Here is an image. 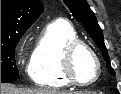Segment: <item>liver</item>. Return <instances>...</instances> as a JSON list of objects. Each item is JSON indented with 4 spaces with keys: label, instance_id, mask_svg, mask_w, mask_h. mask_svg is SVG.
I'll return each mask as SVG.
<instances>
[{
    "label": "liver",
    "instance_id": "1",
    "mask_svg": "<svg viewBox=\"0 0 121 94\" xmlns=\"http://www.w3.org/2000/svg\"><path fill=\"white\" fill-rule=\"evenodd\" d=\"M1 94H69L49 89H22L10 84H1Z\"/></svg>",
    "mask_w": 121,
    "mask_h": 94
}]
</instances>
